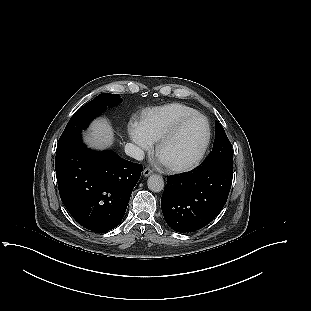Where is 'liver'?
Segmentation results:
<instances>
[{
  "instance_id": "6515ba94",
  "label": "liver",
  "mask_w": 311,
  "mask_h": 311,
  "mask_svg": "<svg viewBox=\"0 0 311 311\" xmlns=\"http://www.w3.org/2000/svg\"><path fill=\"white\" fill-rule=\"evenodd\" d=\"M85 141L92 147L110 146L113 142V130L109 122L104 119L94 121L85 135Z\"/></svg>"
}]
</instances>
